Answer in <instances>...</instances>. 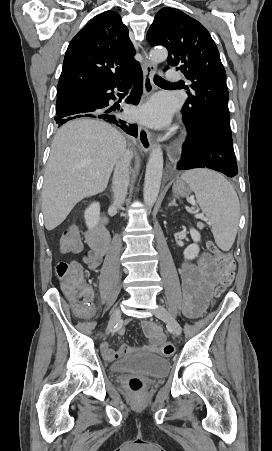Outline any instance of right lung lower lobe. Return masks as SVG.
<instances>
[{"instance_id":"98d812e1","label":"right lung lower lobe","mask_w":272,"mask_h":451,"mask_svg":"<svg viewBox=\"0 0 272 451\" xmlns=\"http://www.w3.org/2000/svg\"><path fill=\"white\" fill-rule=\"evenodd\" d=\"M142 81V70L138 64L112 85L84 88L57 97L56 123L61 126L67 121L76 118L102 119L108 123L117 125L127 134L137 137L138 129L136 124L128 123L121 120L118 116L108 114L114 109L110 108L104 111L103 108L108 106L110 99H115L113 93L114 88L124 91L131 84H134V87L127 97L126 102L138 104L142 92Z\"/></svg>"}]
</instances>
